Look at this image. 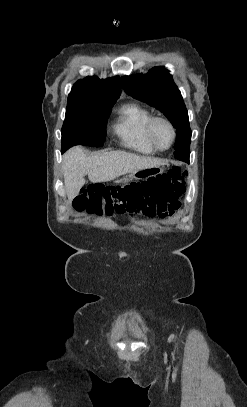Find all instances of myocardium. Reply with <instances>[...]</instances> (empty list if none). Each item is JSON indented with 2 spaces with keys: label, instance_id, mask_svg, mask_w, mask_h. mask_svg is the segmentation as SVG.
<instances>
[{
  "label": "myocardium",
  "instance_id": "myocardium-1",
  "mask_svg": "<svg viewBox=\"0 0 247 407\" xmlns=\"http://www.w3.org/2000/svg\"><path fill=\"white\" fill-rule=\"evenodd\" d=\"M158 123L166 124L171 131L172 138H171V142L168 147L163 148V147L159 146V144L157 143V141L155 139L154 130H155V126ZM147 134H148V138H149L151 144L154 146V148L156 150H159V151H165V150L170 149L176 139V129H175L173 123L168 118L161 117V116L152 117V119L150 120V122L148 124Z\"/></svg>",
  "mask_w": 247,
  "mask_h": 407
}]
</instances>
